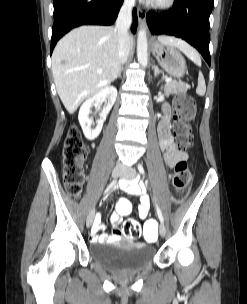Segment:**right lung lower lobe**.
Masks as SVG:
<instances>
[{
  "label": "right lung lower lobe",
  "instance_id": "1",
  "mask_svg": "<svg viewBox=\"0 0 247 304\" xmlns=\"http://www.w3.org/2000/svg\"><path fill=\"white\" fill-rule=\"evenodd\" d=\"M123 0H53L54 24L51 53L57 41L72 28L81 25H111L118 16ZM137 28V12L133 9L132 32Z\"/></svg>",
  "mask_w": 247,
  "mask_h": 304
}]
</instances>
